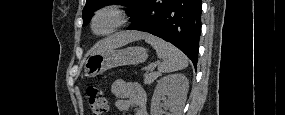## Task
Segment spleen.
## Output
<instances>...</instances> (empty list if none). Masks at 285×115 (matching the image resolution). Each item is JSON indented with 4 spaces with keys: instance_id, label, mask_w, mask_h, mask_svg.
<instances>
[{
    "instance_id": "1",
    "label": "spleen",
    "mask_w": 285,
    "mask_h": 115,
    "mask_svg": "<svg viewBox=\"0 0 285 115\" xmlns=\"http://www.w3.org/2000/svg\"><path fill=\"white\" fill-rule=\"evenodd\" d=\"M145 41L153 46L157 56L163 59V62L158 65L160 72H174L188 66V59L185 54L169 42L152 35H148Z\"/></svg>"
}]
</instances>
